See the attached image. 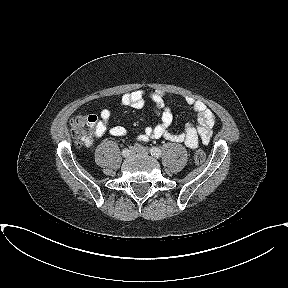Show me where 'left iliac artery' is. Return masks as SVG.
Listing matches in <instances>:
<instances>
[{
	"instance_id": "44dca946",
	"label": "left iliac artery",
	"mask_w": 288,
	"mask_h": 288,
	"mask_svg": "<svg viewBox=\"0 0 288 288\" xmlns=\"http://www.w3.org/2000/svg\"><path fill=\"white\" fill-rule=\"evenodd\" d=\"M150 153L152 156L159 158L161 156V150L157 147L150 148Z\"/></svg>"
}]
</instances>
